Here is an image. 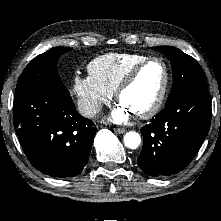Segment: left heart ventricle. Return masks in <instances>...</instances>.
Returning a JSON list of instances; mask_svg holds the SVG:
<instances>
[{"label": "left heart ventricle", "mask_w": 221, "mask_h": 221, "mask_svg": "<svg viewBox=\"0 0 221 221\" xmlns=\"http://www.w3.org/2000/svg\"><path fill=\"white\" fill-rule=\"evenodd\" d=\"M164 81L160 63L148 64L138 74L133 84L121 95L119 103L132 114L148 109L156 100Z\"/></svg>", "instance_id": "b2bd125f"}]
</instances>
